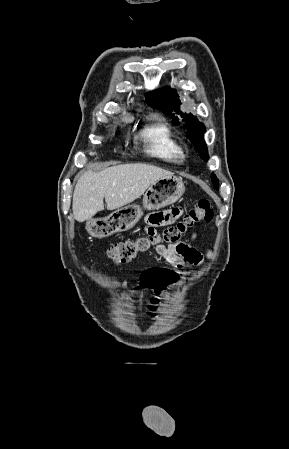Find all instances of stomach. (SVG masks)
Wrapping results in <instances>:
<instances>
[{"label": "stomach", "instance_id": "obj_1", "mask_svg": "<svg viewBox=\"0 0 289 449\" xmlns=\"http://www.w3.org/2000/svg\"><path fill=\"white\" fill-rule=\"evenodd\" d=\"M185 192L182 178L165 176L149 186L143 197L145 210H158L175 203ZM143 215L139 205L119 208L104 218H92L86 223L87 232L95 238L109 237L133 228Z\"/></svg>", "mask_w": 289, "mask_h": 449}]
</instances>
